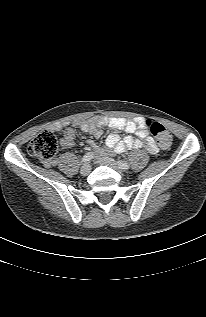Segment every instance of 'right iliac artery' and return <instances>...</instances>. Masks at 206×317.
Returning a JSON list of instances; mask_svg holds the SVG:
<instances>
[{
	"label": "right iliac artery",
	"instance_id": "right-iliac-artery-1",
	"mask_svg": "<svg viewBox=\"0 0 206 317\" xmlns=\"http://www.w3.org/2000/svg\"><path fill=\"white\" fill-rule=\"evenodd\" d=\"M93 157H94L93 152H88V153H86V154L83 156L82 162L88 163V162L91 161V159H93Z\"/></svg>",
	"mask_w": 206,
	"mask_h": 317
}]
</instances>
